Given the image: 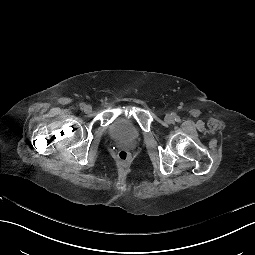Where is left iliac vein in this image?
<instances>
[{
	"label": "left iliac vein",
	"instance_id": "4c4485c4",
	"mask_svg": "<svg viewBox=\"0 0 255 255\" xmlns=\"http://www.w3.org/2000/svg\"><path fill=\"white\" fill-rule=\"evenodd\" d=\"M173 121H174V117H173L172 114H167V115L165 116V122L171 124V123H173Z\"/></svg>",
	"mask_w": 255,
	"mask_h": 255
}]
</instances>
